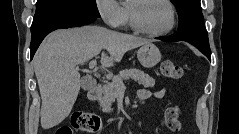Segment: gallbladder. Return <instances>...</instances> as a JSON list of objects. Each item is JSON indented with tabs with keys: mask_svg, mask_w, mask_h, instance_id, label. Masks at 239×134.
<instances>
[{
	"mask_svg": "<svg viewBox=\"0 0 239 134\" xmlns=\"http://www.w3.org/2000/svg\"><path fill=\"white\" fill-rule=\"evenodd\" d=\"M95 85V81L90 78H83L81 81V86L83 89L88 90Z\"/></svg>",
	"mask_w": 239,
	"mask_h": 134,
	"instance_id": "1",
	"label": "gallbladder"
}]
</instances>
